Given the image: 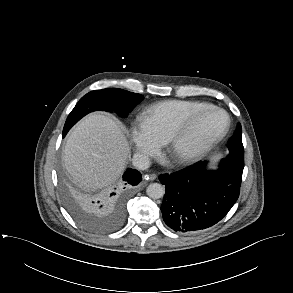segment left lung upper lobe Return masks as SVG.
I'll return each instance as SVG.
<instances>
[{
  "label": "left lung upper lobe",
  "mask_w": 293,
  "mask_h": 293,
  "mask_svg": "<svg viewBox=\"0 0 293 293\" xmlns=\"http://www.w3.org/2000/svg\"><path fill=\"white\" fill-rule=\"evenodd\" d=\"M242 128L238 124L234 136L228 142L229 154L224 159L233 163L237 168H244V148L242 144Z\"/></svg>",
  "instance_id": "5c2ea615"
}]
</instances>
